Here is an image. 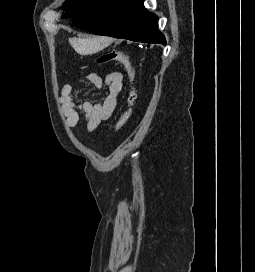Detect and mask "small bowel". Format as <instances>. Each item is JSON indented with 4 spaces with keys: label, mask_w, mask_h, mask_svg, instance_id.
Wrapping results in <instances>:
<instances>
[{
    "label": "small bowel",
    "mask_w": 255,
    "mask_h": 272,
    "mask_svg": "<svg viewBox=\"0 0 255 272\" xmlns=\"http://www.w3.org/2000/svg\"><path fill=\"white\" fill-rule=\"evenodd\" d=\"M86 81L97 89H105L104 99L99 103L89 101L76 103L72 96L73 88L65 84L60 93V103L70 127H77L81 119L85 120L88 132L94 131L98 125L109 119L117 105V98L122 90L123 76L119 72H111L103 80L96 73H89Z\"/></svg>",
    "instance_id": "obj_1"
}]
</instances>
